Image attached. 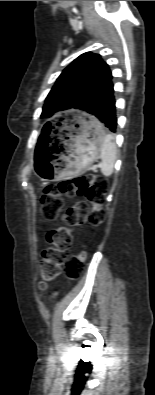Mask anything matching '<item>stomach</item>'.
<instances>
[{
	"mask_svg": "<svg viewBox=\"0 0 155 395\" xmlns=\"http://www.w3.org/2000/svg\"><path fill=\"white\" fill-rule=\"evenodd\" d=\"M102 124L86 112H77L63 136L56 159L37 158L35 173L42 180L72 178L83 173L98 156L104 140Z\"/></svg>",
	"mask_w": 155,
	"mask_h": 395,
	"instance_id": "0dacf381",
	"label": "stomach"
}]
</instances>
